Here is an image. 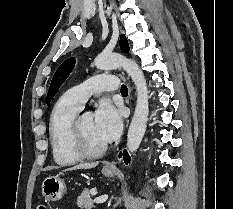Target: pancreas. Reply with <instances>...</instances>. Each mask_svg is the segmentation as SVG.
I'll use <instances>...</instances> for the list:
<instances>
[{"mask_svg": "<svg viewBox=\"0 0 233 209\" xmlns=\"http://www.w3.org/2000/svg\"><path fill=\"white\" fill-rule=\"evenodd\" d=\"M77 205L80 208L91 209L93 207L92 200L90 198V191L85 189L77 198Z\"/></svg>", "mask_w": 233, "mask_h": 209, "instance_id": "pancreas-1", "label": "pancreas"}]
</instances>
